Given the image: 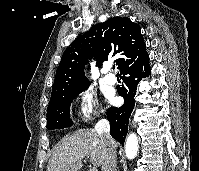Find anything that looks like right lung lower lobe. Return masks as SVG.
Instances as JSON below:
<instances>
[{"label":"right lung lower lobe","instance_id":"98d812e1","mask_svg":"<svg viewBox=\"0 0 199 171\" xmlns=\"http://www.w3.org/2000/svg\"><path fill=\"white\" fill-rule=\"evenodd\" d=\"M120 72L124 75L122 78L124 85L118 87L117 91L124 98V104L119 108H109L107 119L110 122L111 136L124 145L129 117L135 105L134 96L137 85L143 77H148L151 72L148 54L141 60L126 66Z\"/></svg>","mask_w":199,"mask_h":171}]
</instances>
